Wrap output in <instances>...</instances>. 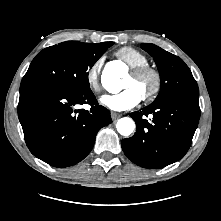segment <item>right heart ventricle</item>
<instances>
[{
  "label": "right heart ventricle",
  "instance_id": "obj_1",
  "mask_svg": "<svg viewBox=\"0 0 221 221\" xmlns=\"http://www.w3.org/2000/svg\"><path fill=\"white\" fill-rule=\"evenodd\" d=\"M115 55L128 64L131 68L139 67L148 64V57L140 50L124 46L119 48Z\"/></svg>",
  "mask_w": 221,
  "mask_h": 221
}]
</instances>
